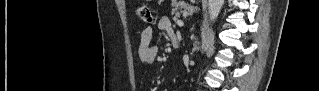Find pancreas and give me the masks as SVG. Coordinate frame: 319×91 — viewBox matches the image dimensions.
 I'll return each instance as SVG.
<instances>
[{
	"mask_svg": "<svg viewBox=\"0 0 319 91\" xmlns=\"http://www.w3.org/2000/svg\"><path fill=\"white\" fill-rule=\"evenodd\" d=\"M175 5H176V8H174L172 10V12H171V14L173 15V20L174 21H177L179 16H180V12L177 11L178 9H180L181 12H186V13L190 12L193 9V7H191V6L187 5V4H181V2L175 3Z\"/></svg>",
	"mask_w": 319,
	"mask_h": 91,
	"instance_id": "pancreas-1",
	"label": "pancreas"
}]
</instances>
